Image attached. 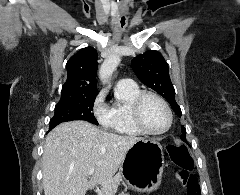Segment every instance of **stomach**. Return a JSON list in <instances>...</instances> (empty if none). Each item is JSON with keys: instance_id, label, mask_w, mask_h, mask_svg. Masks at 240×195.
Instances as JSON below:
<instances>
[{"instance_id": "1", "label": "stomach", "mask_w": 240, "mask_h": 195, "mask_svg": "<svg viewBox=\"0 0 240 195\" xmlns=\"http://www.w3.org/2000/svg\"><path fill=\"white\" fill-rule=\"evenodd\" d=\"M164 171V153L156 137H142L128 149L120 173L127 187L138 193L159 189Z\"/></svg>"}]
</instances>
